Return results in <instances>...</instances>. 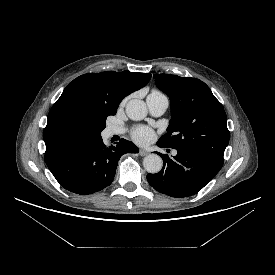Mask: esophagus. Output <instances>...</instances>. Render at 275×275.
Wrapping results in <instances>:
<instances>
[{"mask_svg":"<svg viewBox=\"0 0 275 275\" xmlns=\"http://www.w3.org/2000/svg\"><path fill=\"white\" fill-rule=\"evenodd\" d=\"M139 154H140V156H146V155H148V151L141 149V150H139Z\"/></svg>","mask_w":275,"mask_h":275,"instance_id":"1","label":"esophagus"}]
</instances>
